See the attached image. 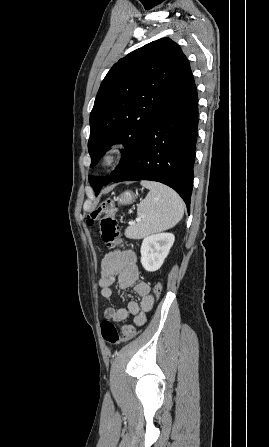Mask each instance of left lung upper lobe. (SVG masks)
Wrapping results in <instances>:
<instances>
[{"label": "left lung upper lobe", "instance_id": "obj_1", "mask_svg": "<svg viewBox=\"0 0 269 447\" xmlns=\"http://www.w3.org/2000/svg\"><path fill=\"white\" fill-rule=\"evenodd\" d=\"M185 60L175 42L162 38L131 52L107 73L90 114L91 167L112 144L123 143L126 149L111 176L89 175L95 192L117 178L139 152Z\"/></svg>", "mask_w": 269, "mask_h": 447}]
</instances>
